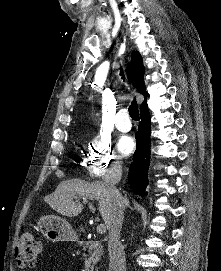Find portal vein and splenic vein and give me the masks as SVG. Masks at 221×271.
I'll return each mask as SVG.
<instances>
[{
	"label": "portal vein and splenic vein",
	"mask_w": 221,
	"mask_h": 271,
	"mask_svg": "<svg viewBox=\"0 0 221 271\" xmlns=\"http://www.w3.org/2000/svg\"><path fill=\"white\" fill-rule=\"evenodd\" d=\"M86 197H84L85 201ZM98 234H105V225H97Z\"/></svg>",
	"instance_id": "1"
}]
</instances>
